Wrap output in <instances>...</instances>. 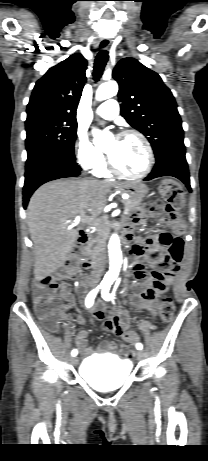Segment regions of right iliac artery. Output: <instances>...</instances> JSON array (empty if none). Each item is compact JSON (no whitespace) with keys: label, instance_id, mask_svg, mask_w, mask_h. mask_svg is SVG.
<instances>
[{"label":"right iliac artery","instance_id":"1","mask_svg":"<svg viewBox=\"0 0 208 461\" xmlns=\"http://www.w3.org/2000/svg\"><path fill=\"white\" fill-rule=\"evenodd\" d=\"M100 288H102V286H98L96 289L92 290V291L88 294V296H87V298H86V303H85L87 307H91V306L93 305L94 298H95V296H96V294H97V292H98V290H99ZM77 353H78V352H77L76 349L72 350V352H71L72 356H76Z\"/></svg>","mask_w":208,"mask_h":461}]
</instances>
